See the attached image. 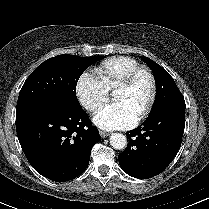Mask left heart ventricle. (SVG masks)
Listing matches in <instances>:
<instances>
[{
    "label": "left heart ventricle",
    "instance_id": "b2bd125f",
    "mask_svg": "<svg viewBox=\"0 0 209 209\" xmlns=\"http://www.w3.org/2000/svg\"><path fill=\"white\" fill-rule=\"evenodd\" d=\"M150 88L149 78L141 74L129 88L115 90L114 99L126 102L139 115L148 101Z\"/></svg>",
    "mask_w": 209,
    "mask_h": 209
}]
</instances>
